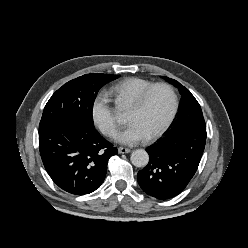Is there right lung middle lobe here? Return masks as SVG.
I'll return each instance as SVG.
<instances>
[{"label": "right lung middle lobe", "mask_w": 248, "mask_h": 248, "mask_svg": "<svg viewBox=\"0 0 248 248\" xmlns=\"http://www.w3.org/2000/svg\"><path fill=\"white\" fill-rule=\"evenodd\" d=\"M120 75L86 74L59 88L45 105L39 134L61 123L94 127L92 110L99 89Z\"/></svg>", "instance_id": "1"}]
</instances>
